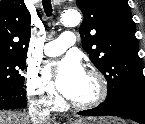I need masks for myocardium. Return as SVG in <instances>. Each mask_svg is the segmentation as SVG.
<instances>
[{"label":"myocardium","mask_w":145,"mask_h":124,"mask_svg":"<svg viewBox=\"0 0 145 124\" xmlns=\"http://www.w3.org/2000/svg\"><path fill=\"white\" fill-rule=\"evenodd\" d=\"M86 74L88 76L93 77L96 80L98 84V92H97V95L93 99L86 102L78 103V102H73L71 100L68 101V104L70 107L79 111L89 110V109L99 106L105 101L108 95L107 80L105 76L99 70L92 68V69L87 70Z\"/></svg>","instance_id":"f54148a6"}]
</instances>
